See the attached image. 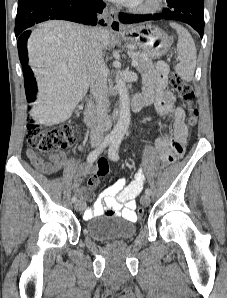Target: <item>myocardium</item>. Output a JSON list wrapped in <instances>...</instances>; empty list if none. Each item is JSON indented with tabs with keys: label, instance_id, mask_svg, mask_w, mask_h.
Returning a JSON list of instances; mask_svg holds the SVG:
<instances>
[{
	"label": "myocardium",
	"instance_id": "obj_1",
	"mask_svg": "<svg viewBox=\"0 0 227 298\" xmlns=\"http://www.w3.org/2000/svg\"><path fill=\"white\" fill-rule=\"evenodd\" d=\"M164 0H141L131 5V10L138 14H154L163 7Z\"/></svg>",
	"mask_w": 227,
	"mask_h": 298
}]
</instances>
